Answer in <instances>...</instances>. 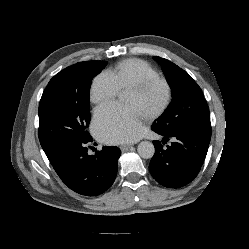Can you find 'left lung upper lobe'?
<instances>
[{"label": "left lung upper lobe", "mask_w": 249, "mask_h": 249, "mask_svg": "<svg viewBox=\"0 0 249 249\" xmlns=\"http://www.w3.org/2000/svg\"><path fill=\"white\" fill-rule=\"evenodd\" d=\"M160 65L172 90V101L153 125L165 135L211 131L209 107L197 83L179 66L161 57Z\"/></svg>", "instance_id": "1"}]
</instances>
